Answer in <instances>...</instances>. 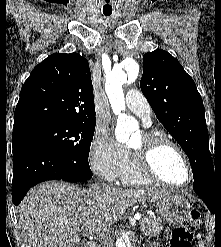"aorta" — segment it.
<instances>
[{
  "label": "aorta",
  "instance_id": "aorta-1",
  "mask_svg": "<svg viewBox=\"0 0 221 247\" xmlns=\"http://www.w3.org/2000/svg\"><path fill=\"white\" fill-rule=\"evenodd\" d=\"M138 73V64L130 61L122 66L114 67L106 76L105 91L114 114L118 116L115 135L119 142L127 141L130 132L138 128L137 121L122 112L125 109L123 84L127 82L128 77L136 79ZM115 247H127V243L123 239H117Z\"/></svg>",
  "mask_w": 221,
  "mask_h": 247
}]
</instances>
